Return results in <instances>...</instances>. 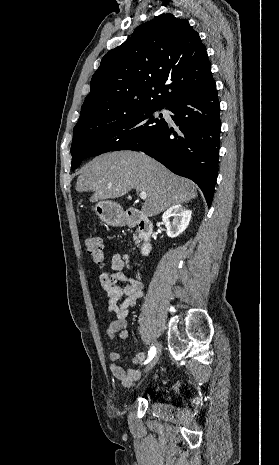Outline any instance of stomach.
<instances>
[{"mask_svg":"<svg viewBox=\"0 0 279 465\" xmlns=\"http://www.w3.org/2000/svg\"><path fill=\"white\" fill-rule=\"evenodd\" d=\"M94 210L98 217L111 226H123L126 223L122 207L113 201H99Z\"/></svg>","mask_w":279,"mask_h":465,"instance_id":"1","label":"stomach"}]
</instances>
